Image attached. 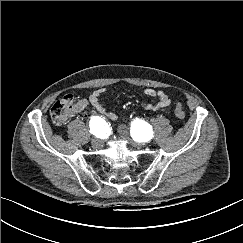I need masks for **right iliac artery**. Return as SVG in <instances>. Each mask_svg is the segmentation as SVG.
<instances>
[{
    "label": "right iliac artery",
    "instance_id": "1",
    "mask_svg": "<svg viewBox=\"0 0 243 243\" xmlns=\"http://www.w3.org/2000/svg\"><path fill=\"white\" fill-rule=\"evenodd\" d=\"M104 127H106V122L101 117L95 116L90 120V132L96 137H100Z\"/></svg>",
    "mask_w": 243,
    "mask_h": 243
}]
</instances>
